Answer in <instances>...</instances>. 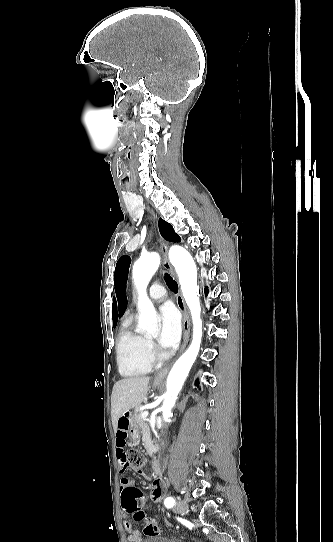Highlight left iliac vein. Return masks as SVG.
<instances>
[{
  "instance_id": "1",
  "label": "left iliac vein",
  "mask_w": 333,
  "mask_h": 542,
  "mask_svg": "<svg viewBox=\"0 0 333 542\" xmlns=\"http://www.w3.org/2000/svg\"><path fill=\"white\" fill-rule=\"evenodd\" d=\"M175 510L177 511V513H180L183 515L188 514L189 505L185 500H180L176 503Z\"/></svg>"
}]
</instances>
